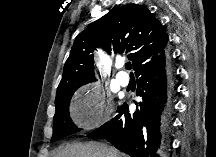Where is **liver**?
Segmentation results:
<instances>
[{"instance_id":"liver-1","label":"liver","mask_w":216,"mask_h":157,"mask_svg":"<svg viewBox=\"0 0 216 157\" xmlns=\"http://www.w3.org/2000/svg\"><path fill=\"white\" fill-rule=\"evenodd\" d=\"M54 157H124V154L106 144L89 142L68 145L56 153Z\"/></svg>"}]
</instances>
